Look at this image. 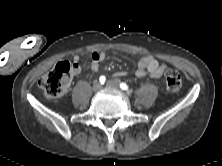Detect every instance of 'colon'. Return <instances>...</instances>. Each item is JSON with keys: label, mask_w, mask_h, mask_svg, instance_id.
Returning <instances> with one entry per match:
<instances>
[{"label": "colon", "mask_w": 222, "mask_h": 166, "mask_svg": "<svg viewBox=\"0 0 222 166\" xmlns=\"http://www.w3.org/2000/svg\"><path fill=\"white\" fill-rule=\"evenodd\" d=\"M77 67L78 65L67 61L59 62L39 79L38 85L49 98L59 99L65 95ZM165 86L170 92H177L181 89L182 79L176 69L166 70Z\"/></svg>", "instance_id": "colon-1"}]
</instances>
